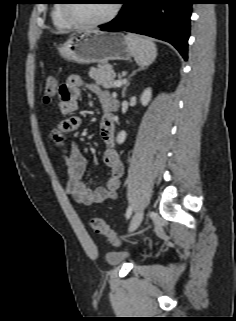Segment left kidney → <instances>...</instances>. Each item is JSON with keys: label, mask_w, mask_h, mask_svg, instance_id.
I'll use <instances>...</instances> for the list:
<instances>
[{"label": "left kidney", "mask_w": 236, "mask_h": 321, "mask_svg": "<svg viewBox=\"0 0 236 321\" xmlns=\"http://www.w3.org/2000/svg\"><path fill=\"white\" fill-rule=\"evenodd\" d=\"M152 97V91L151 88H147L144 90V92L141 95V103L143 106H147L148 103L150 102ZM126 139V132L125 131H121L118 136H117V142L119 144L123 143Z\"/></svg>", "instance_id": "left-kidney-1"}]
</instances>
